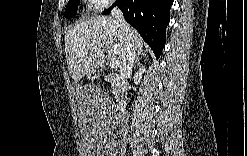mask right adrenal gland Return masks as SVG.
Wrapping results in <instances>:
<instances>
[{
    "instance_id": "1",
    "label": "right adrenal gland",
    "mask_w": 247,
    "mask_h": 156,
    "mask_svg": "<svg viewBox=\"0 0 247 156\" xmlns=\"http://www.w3.org/2000/svg\"><path fill=\"white\" fill-rule=\"evenodd\" d=\"M144 55V53H138V55H137V57H136V60H135V62H134V64H133V67H136L138 64H140V55Z\"/></svg>"
}]
</instances>
